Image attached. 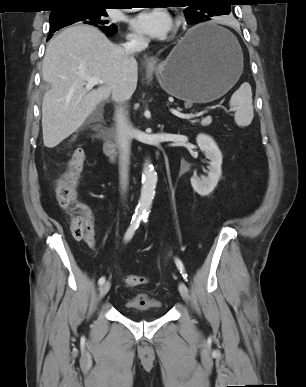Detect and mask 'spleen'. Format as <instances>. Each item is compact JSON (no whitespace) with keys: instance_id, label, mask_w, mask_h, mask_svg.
Listing matches in <instances>:
<instances>
[{"instance_id":"spleen-1","label":"spleen","mask_w":306,"mask_h":387,"mask_svg":"<svg viewBox=\"0 0 306 387\" xmlns=\"http://www.w3.org/2000/svg\"><path fill=\"white\" fill-rule=\"evenodd\" d=\"M230 106L236 111L235 122L238 126H248L253 117L252 91L249 83H243L232 95Z\"/></svg>"}]
</instances>
